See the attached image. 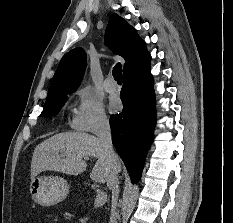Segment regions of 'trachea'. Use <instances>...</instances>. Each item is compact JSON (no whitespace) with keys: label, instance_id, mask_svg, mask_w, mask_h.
<instances>
[{"label":"trachea","instance_id":"1","mask_svg":"<svg viewBox=\"0 0 233 223\" xmlns=\"http://www.w3.org/2000/svg\"><path fill=\"white\" fill-rule=\"evenodd\" d=\"M113 77L114 79L119 82L122 83V66L120 63H117L114 68H113Z\"/></svg>","mask_w":233,"mask_h":223}]
</instances>
